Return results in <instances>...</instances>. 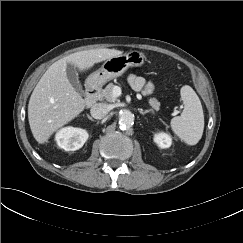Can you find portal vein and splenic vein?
Instances as JSON below:
<instances>
[{
  "mask_svg": "<svg viewBox=\"0 0 243 243\" xmlns=\"http://www.w3.org/2000/svg\"><path fill=\"white\" fill-rule=\"evenodd\" d=\"M112 95L114 98H117L121 95V87L115 86L112 91Z\"/></svg>",
  "mask_w": 243,
  "mask_h": 243,
  "instance_id": "1",
  "label": "portal vein and splenic vein"
}]
</instances>
